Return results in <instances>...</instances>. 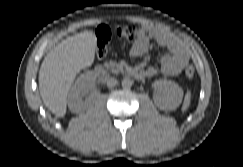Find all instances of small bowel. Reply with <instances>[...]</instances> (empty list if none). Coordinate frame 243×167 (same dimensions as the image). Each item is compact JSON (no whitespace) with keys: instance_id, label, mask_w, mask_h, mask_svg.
<instances>
[{"instance_id":"c3829d8e","label":"small bowel","mask_w":243,"mask_h":167,"mask_svg":"<svg viewBox=\"0 0 243 167\" xmlns=\"http://www.w3.org/2000/svg\"><path fill=\"white\" fill-rule=\"evenodd\" d=\"M154 40L158 45L168 50L161 60L159 69L151 66L142 73H137L141 76L153 77L158 71L166 76H174L181 72L189 61V53L187 48L172 37L167 31L161 28L143 27L142 32L134 40L130 55L135 58L144 56L149 47L150 40Z\"/></svg>"}]
</instances>
